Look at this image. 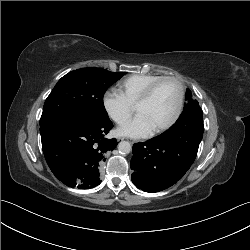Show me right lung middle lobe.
Segmentation results:
<instances>
[{
    "instance_id": "1",
    "label": "right lung middle lobe",
    "mask_w": 250,
    "mask_h": 250,
    "mask_svg": "<svg viewBox=\"0 0 250 250\" xmlns=\"http://www.w3.org/2000/svg\"><path fill=\"white\" fill-rule=\"evenodd\" d=\"M126 72L83 68L63 76L47 97L40 125L61 118L108 119L103 103L105 91Z\"/></svg>"
}]
</instances>
